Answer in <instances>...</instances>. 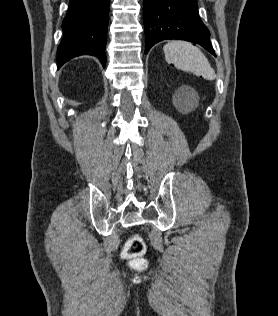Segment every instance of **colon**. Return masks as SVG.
Here are the masks:
<instances>
[{"mask_svg": "<svg viewBox=\"0 0 278 316\" xmlns=\"http://www.w3.org/2000/svg\"><path fill=\"white\" fill-rule=\"evenodd\" d=\"M146 246L143 239L139 235H134L125 244L123 256L130 259L137 268H143L146 263L142 258L145 254Z\"/></svg>", "mask_w": 278, "mask_h": 316, "instance_id": "5ec220e1", "label": "colon"}]
</instances>
